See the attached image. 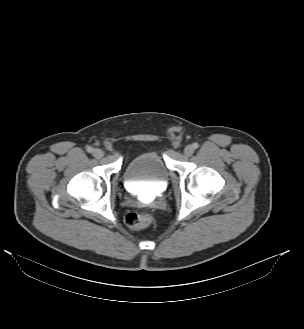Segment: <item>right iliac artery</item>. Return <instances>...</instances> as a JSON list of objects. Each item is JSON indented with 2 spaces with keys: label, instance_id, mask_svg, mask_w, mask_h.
<instances>
[{
  "label": "right iliac artery",
  "instance_id": "obj_1",
  "mask_svg": "<svg viewBox=\"0 0 304 329\" xmlns=\"http://www.w3.org/2000/svg\"><path fill=\"white\" fill-rule=\"evenodd\" d=\"M86 150H87L88 153H92L93 152V148L91 146L87 147Z\"/></svg>",
  "mask_w": 304,
  "mask_h": 329
}]
</instances>
